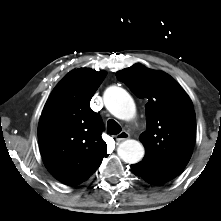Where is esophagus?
Here are the masks:
<instances>
[{
  "instance_id": "esophagus-1",
  "label": "esophagus",
  "mask_w": 221,
  "mask_h": 221,
  "mask_svg": "<svg viewBox=\"0 0 221 221\" xmlns=\"http://www.w3.org/2000/svg\"><path fill=\"white\" fill-rule=\"evenodd\" d=\"M129 138H130V135L126 131H122V132H120L119 134L116 135V140L119 141V142L127 140Z\"/></svg>"
}]
</instances>
